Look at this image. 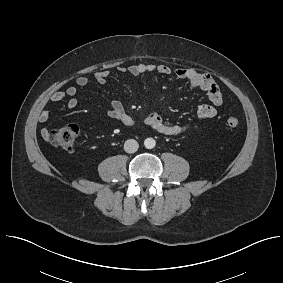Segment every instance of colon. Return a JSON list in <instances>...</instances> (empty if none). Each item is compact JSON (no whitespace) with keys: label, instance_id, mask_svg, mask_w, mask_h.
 <instances>
[{"label":"colon","instance_id":"obj_1","mask_svg":"<svg viewBox=\"0 0 283 283\" xmlns=\"http://www.w3.org/2000/svg\"><path fill=\"white\" fill-rule=\"evenodd\" d=\"M226 124L230 128H235L239 126L240 121L236 117H229L226 120ZM78 134L79 128L77 125L67 124L49 131L47 136L54 146L63 150H73L76 145Z\"/></svg>","mask_w":283,"mask_h":283}]
</instances>
